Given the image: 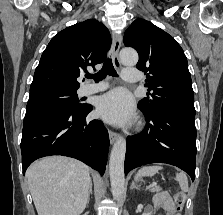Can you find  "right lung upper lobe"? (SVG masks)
I'll list each match as a JSON object with an SVG mask.
<instances>
[{
  "instance_id": "1",
  "label": "right lung upper lobe",
  "mask_w": 223,
  "mask_h": 215,
  "mask_svg": "<svg viewBox=\"0 0 223 215\" xmlns=\"http://www.w3.org/2000/svg\"><path fill=\"white\" fill-rule=\"evenodd\" d=\"M111 44L108 29L94 19L57 33L44 50L30 93L46 90L77 91V78L86 66L102 63Z\"/></svg>"
}]
</instances>
